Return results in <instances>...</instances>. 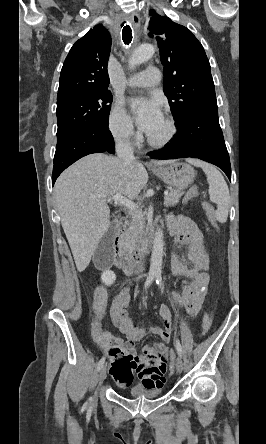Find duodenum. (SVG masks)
<instances>
[{
	"label": "duodenum",
	"instance_id": "duodenum-1",
	"mask_svg": "<svg viewBox=\"0 0 266 444\" xmlns=\"http://www.w3.org/2000/svg\"><path fill=\"white\" fill-rule=\"evenodd\" d=\"M124 220L118 222V231L115 237V264L127 276H131L139 272L140 264L136 261L131 253L126 249L124 242Z\"/></svg>",
	"mask_w": 266,
	"mask_h": 444
}]
</instances>
